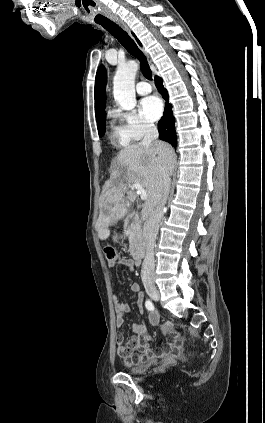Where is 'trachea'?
Masks as SVG:
<instances>
[{
    "label": "trachea",
    "mask_w": 265,
    "mask_h": 423,
    "mask_svg": "<svg viewBox=\"0 0 265 423\" xmlns=\"http://www.w3.org/2000/svg\"><path fill=\"white\" fill-rule=\"evenodd\" d=\"M99 24L112 36H114L132 56L139 60L141 71L144 77L148 80L152 79V71L149 67L146 57L137 47L136 43L130 38V36L111 20L100 22Z\"/></svg>",
    "instance_id": "1"
}]
</instances>
